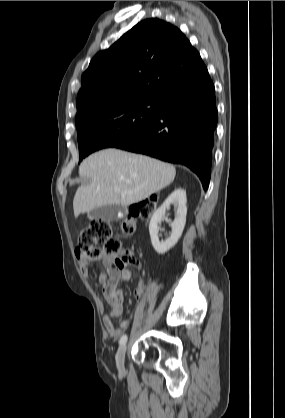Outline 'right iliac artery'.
I'll list each match as a JSON object with an SVG mask.
<instances>
[{
    "instance_id": "obj_1",
    "label": "right iliac artery",
    "mask_w": 285,
    "mask_h": 418,
    "mask_svg": "<svg viewBox=\"0 0 285 418\" xmlns=\"http://www.w3.org/2000/svg\"><path fill=\"white\" fill-rule=\"evenodd\" d=\"M127 335L125 334V335H123V336H121V338H120V340H119V344H120V346H122V345H124L125 343H126V341H127Z\"/></svg>"
}]
</instances>
